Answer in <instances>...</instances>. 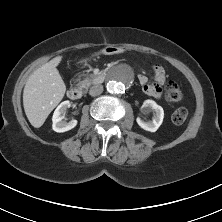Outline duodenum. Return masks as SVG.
<instances>
[{
    "label": "duodenum",
    "instance_id": "410a0bca",
    "mask_svg": "<svg viewBox=\"0 0 222 222\" xmlns=\"http://www.w3.org/2000/svg\"><path fill=\"white\" fill-rule=\"evenodd\" d=\"M104 79H105V75L103 73H100L93 78V82L95 84H101L103 83ZM67 95L69 99L71 100H80L83 96V92L81 89L77 87H71L68 89Z\"/></svg>",
    "mask_w": 222,
    "mask_h": 222
}]
</instances>
